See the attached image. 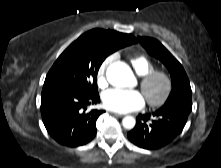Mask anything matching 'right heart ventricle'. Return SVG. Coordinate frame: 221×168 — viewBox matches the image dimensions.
Listing matches in <instances>:
<instances>
[{
	"mask_svg": "<svg viewBox=\"0 0 221 168\" xmlns=\"http://www.w3.org/2000/svg\"><path fill=\"white\" fill-rule=\"evenodd\" d=\"M131 65L139 76H143L154 70L153 62L144 55H137L130 59Z\"/></svg>",
	"mask_w": 221,
	"mask_h": 168,
	"instance_id": "e07e8e85",
	"label": "right heart ventricle"
}]
</instances>
